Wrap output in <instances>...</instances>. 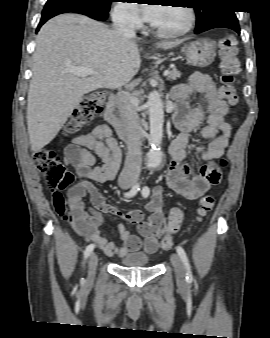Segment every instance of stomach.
Masks as SVG:
<instances>
[{
  "label": "stomach",
  "mask_w": 270,
  "mask_h": 338,
  "mask_svg": "<svg viewBox=\"0 0 270 338\" xmlns=\"http://www.w3.org/2000/svg\"><path fill=\"white\" fill-rule=\"evenodd\" d=\"M216 56V48L208 39H198L186 47V58L190 65L197 67L209 66Z\"/></svg>",
  "instance_id": "0dacf381"
}]
</instances>
